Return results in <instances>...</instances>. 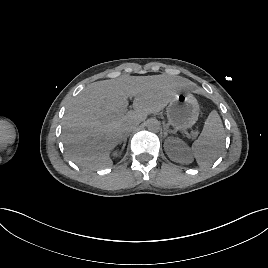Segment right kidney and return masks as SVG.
<instances>
[{
    "mask_svg": "<svg viewBox=\"0 0 268 268\" xmlns=\"http://www.w3.org/2000/svg\"><path fill=\"white\" fill-rule=\"evenodd\" d=\"M120 153H121V152H117V151H115V152L113 153V156H114V157H117V156L120 155Z\"/></svg>",
    "mask_w": 268,
    "mask_h": 268,
    "instance_id": "right-kidney-1",
    "label": "right kidney"
}]
</instances>
